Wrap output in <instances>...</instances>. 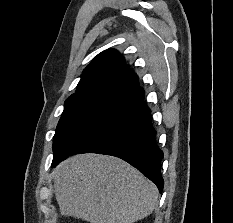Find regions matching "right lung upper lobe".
Instances as JSON below:
<instances>
[{
    "instance_id": "right-lung-upper-lobe-1",
    "label": "right lung upper lobe",
    "mask_w": 233,
    "mask_h": 223,
    "mask_svg": "<svg viewBox=\"0 0 233 223\" xmlns=\"http://www.w3.org/2000/svg\"><path fill=\"white\" fill-rule=\"evenodd\" d=\"M138 86L137 75L125 64L116 50H106L97 55L84 69L76 92L71 96L96 92L124 93Z\"/></svg>"
}]
</instances>
